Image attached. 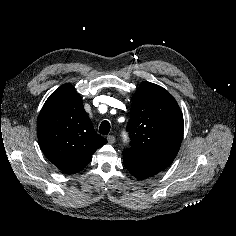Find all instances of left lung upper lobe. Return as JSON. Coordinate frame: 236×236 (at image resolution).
Here are the masks:
<instances>
[{"label":"left lung upper lobe","mask_w":236,"mask_h":236,"mask_svg":"<svg viewBox=\"0 0 236 236\" xmlns=\"http://www.w3.org/2000/svg\"><path fill=\"white\" fill-rule=\"evenodd\" d=\"M183 127L182 112L169 92L142 82L133 97L127 125L131 147L124 152L168 167L179 151Z\"/></svg>","instance_id":"1"}]
</instances>
